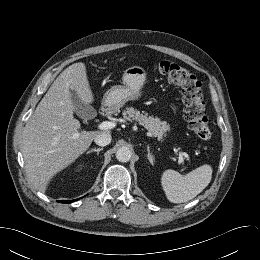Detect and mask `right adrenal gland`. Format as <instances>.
<instances>
[{
	"mask_svg": "<svg viewBox=\"0 0 260 260\" xmlns=\"http://www.w3.org/2000/svg\"><path fill=\"white\" fill-rule=\"evenodd\" d=\"M103 148H94V149H91L90 151L87 152V154L91 153V152H97V154H99L100 151H102Z\"/></svg>",
	"mask_w": 260,
	"mask_h": 260,
	"instance_id": "right-adrenal-gland-1",
	"label": "right adrenal gland"
}]
</instances>
